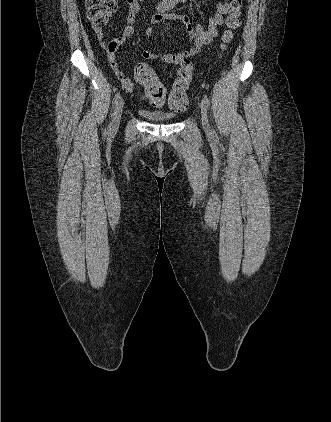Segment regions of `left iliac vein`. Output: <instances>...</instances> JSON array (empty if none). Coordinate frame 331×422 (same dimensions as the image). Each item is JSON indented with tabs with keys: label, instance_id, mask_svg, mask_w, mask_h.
I'll return each instance as SVG.
<instances>
[{
	"label": "left iliac vein",
	"instance_id": "4c4485c4",
	"mask_svg": "<svg viewBox=\"0 0 331 422\" xmlns=\"http://www.w3.org/2000/svg\"><path fill=\"white\" fill-rule=\"evenodd\" d=\"M200 109H201V120H202L203 129L205 132L209 133L211 131V127L209 124L207 108L205 106L204 101L201 102Z\"/></svg>",
	"mask_w": 331,
	"mask_h": 422
}]
</instances>
